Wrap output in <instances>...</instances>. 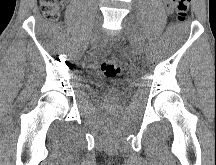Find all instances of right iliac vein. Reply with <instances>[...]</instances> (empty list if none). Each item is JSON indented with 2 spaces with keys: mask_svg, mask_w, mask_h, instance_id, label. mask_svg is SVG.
I'll list each match as a JSON object with an SVG mask.
<instances>
[{
  "mask_svg": "<svg viewBox=\"0 0 216 165\" xmlns=\"http://www.w3.org/2000/svg\"><path fill=\"white\" fill-rule=\"evenodd\" d=\"M102 19L99 20V24L101 23ZM99 36V26L94 30L92 35V41H95Z\"/></svg>",
  "mask_w": 216,
  "mask_h": 165,
  "instance_id": "1",
  "label": "right iliac vein"
}]
</instances>
